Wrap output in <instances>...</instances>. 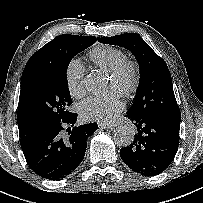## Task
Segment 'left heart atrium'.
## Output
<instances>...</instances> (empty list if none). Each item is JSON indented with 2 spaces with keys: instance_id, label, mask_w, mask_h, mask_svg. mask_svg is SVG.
<instances>
[{
  "instance_id": "left-heart-atrium-1",
  "label": "left heart atrium",
  "mask_w": 203,
  "mask_h": 203,
  "mask_svg": "<svg viewBox=\"0 0 203 203\" xmlns=\"http://www.w3.org/2000/svg\"><path fill=\"white\" fill-rule=\"evenodd\" d=\"M123 109V103L117 98L91 96L81 102L80 115L83 119L98 122H110Z\"/></svg>"
}]
</instances>
